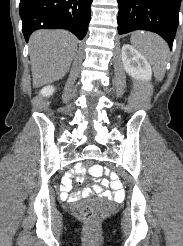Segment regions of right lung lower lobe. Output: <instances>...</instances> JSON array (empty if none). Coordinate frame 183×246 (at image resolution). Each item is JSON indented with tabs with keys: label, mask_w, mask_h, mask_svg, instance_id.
<instances>
[{
	"label": "right lung lower lobe",
	"mask_w": 183,
	"mask_h": 246,
	"mask_svg": "<svg viewBox=\"0 0 183 246\" xmlns=\"http://www.w3.org/2000/svg\"><path fill=\"white\" fill-rule=\"evenodd\" d=\"M92 0H20L19 13L26 41L37 29H65L82 40L91 19Z\"/></svg>",
	"instance_id": "98d812e1"
}]
</instances>
